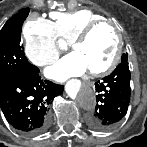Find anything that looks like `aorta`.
<instances>
[{
	"mask_svg": "<svg viewBox=\"0 0 147 147\" xmlns=\"http://www.w3.org/2000/svg\"><path fill=\"white\" fill-rule=\"evenodd\" d=\"M69 93L82 108L86 110L94 108L96 104L95 92L89 86L81 84L77 88H71Z\"/></svg>",
	"mask_w": 147,
	"mask_h": 147,
	"instance_id": "762f6f07",
	"label": "aorta"
}]
</instances>
